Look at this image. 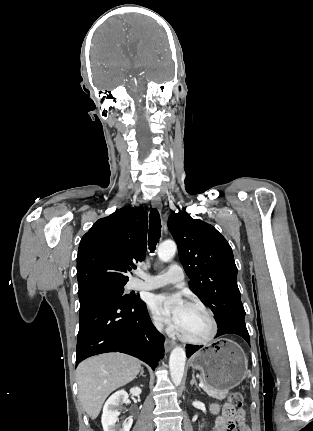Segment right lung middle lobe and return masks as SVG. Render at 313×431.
I'll return each mask as SVG.
<instances>
[{
  "instance_id": "right-lung-middle-lobe-1",
  "label": "right lung middle lobe",
  "mask_w": 313,
  "mask_h": 431,
  "mask_svg": "<svg viewBox=\"0 0 313 431\" xmlns=\"http://www.w3.org/2000/svg\"><path fill=\"white\" fill-rule=\"evenodd\" d=\"M124 285L125 284H121V285H114V286H107V287H103L98 291H104V292H109V293H114L117 294L119 296H121L123 299L127 300V301H132L136 298V296L133 295H124Z\"/></svg>"
}]
</instances>
